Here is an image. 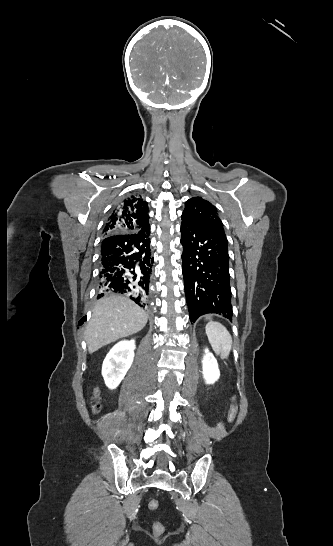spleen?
Masks as SVG:
<instances>
[{
  "label": "spleen",
  "instance_id": "obj_1",
  "mask_svg": "<svg viewBox=\"0 0 333 546\" xmlns=\"http://www.w3.org/2000/svg\"><path fill=\"white\" fill-rule=\"evenodd\" d=\"M205 331L213 351L220 354L222 359L228 358L232 349V337L226 327L211 320Z\"/></svg>",
  "mask_w": 333,
  "mask_h": 546
}]
</instances>
